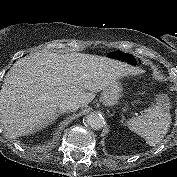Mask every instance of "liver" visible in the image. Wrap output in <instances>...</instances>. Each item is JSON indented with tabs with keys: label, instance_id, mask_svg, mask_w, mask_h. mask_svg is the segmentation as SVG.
<instances>
[{
	"label": "liver",
	"instance_id": "1",
	"mask_svg": "<svg viewBox=\"0 0 177 177\" xmlns=\"http://www.w3.org/2000/svg\"><path fill=\"white\" fill-rule=\"evenodd\" d=\"M143 70L104 56L42 52L17 60L0 92V121L10 138L46 127L59 106L71 101L88 105L95 93L118 79ZM89 91V92H87Z\"/></svg>",
	"mask_w": 177,
	"mask_h": 177
}]
</instances>
